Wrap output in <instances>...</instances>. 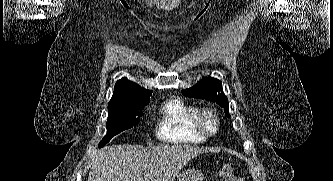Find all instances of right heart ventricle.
I'll list each match as a JSON object with an SVG mask.
<instances>
[{
    "instance_id": "e07e8e85",
    "label": "right heart ventricle",
    "mask_w": 333,
    "mask_h": 181,
    "mask_svg": "<svg viewBox=\"0 0 333 181\" xmlns=\"http://www.w3.org/2000/svg\"><path fill=\"white\" fill-rule=\"evenodd\" d=\"M199 108L174 98L160 109L157 136L171 143L193 144L205 141V136L197 128Z\"/></svg>"
}]
</instances>
